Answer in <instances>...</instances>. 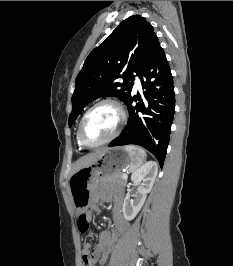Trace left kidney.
<instances>
[{"instance_id":"1","label":"left kidney","mask_w":233,"mask_h":266,"mask_svg":"<svg viewBox=\"0 0 233 266\" xmlns=\"http://www.w3.org/2000/svg\"><path fill=\"white\" fill-rule=\"evenodd\" d=\"M157 173L158 166L154 161L146 162L132 173L131 181L133 185L139 187L133 199L130 198V194H127L124 199L122 211L126 220H133L142 208L147 193L153 187Z\"/></svg>"}]
</instances>
